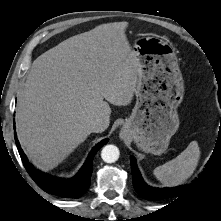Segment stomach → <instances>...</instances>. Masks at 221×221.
<instances>
[{"instance_id":"obj_1","label":"stomach","mask_w":221,"mask_h":221,"mask_svg":"<svg viewBox=\"0 0 221 221\" xmlns=\"http://www.w3.org/2000/svg\"><path fill=\"white\" fill-rule=\"evenodd\" d=\"M139 79L136 103L121 135L146 153L161 155L179 128L177 108L184 96V81L173 47L157 37L134 43Z\"/></svg>"}]
</instances>
